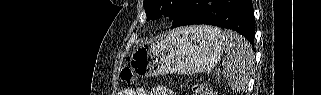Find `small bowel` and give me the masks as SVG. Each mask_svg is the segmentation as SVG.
<instances>
[{"label":"small bowel","instance_id":"1","mask_svg":"<svg viewBox=\"0 0 321 95\" xmlns=\"http://www.w3.org/2000/svg\"><path fill=\"white\" fill-rule=\"evenodd\" d=\"M125 93L127 95H175V93L170 88L163 85L156 86L151 92H148L147 90L140 88L136 91L126 89Z\"/></svg>","mask_w":321,"mask_h":95}]
</instances>
